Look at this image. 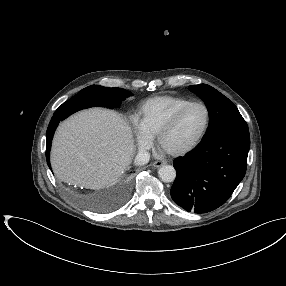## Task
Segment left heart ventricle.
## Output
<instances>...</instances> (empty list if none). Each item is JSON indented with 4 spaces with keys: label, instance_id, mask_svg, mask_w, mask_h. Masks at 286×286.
Segmentation results:
<instances>
[{
    "label": "left heart ventricle",
    "instance_id": "b2bd125f",
    "mask_svg": "<svg viewBox=\"0 0 286 286\" xmlns=\"http://www.w3.org/2000/svg\"><path fill=\"white\" fill-rule=\"evenodd\" d=\"M206 121L202 106L195 105L185 112L175 127L164 138V147L178 150L192 144L201 134Z\"/></svg>",
    "mask_w": 286,
    "mask_h": 286
}]
</instances>
